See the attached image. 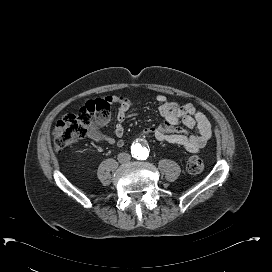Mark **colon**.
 <instances>
[{"label":"colon","instance_id":"1","mask_svg":"<svg viewBox=\"0 0 272 272\" xmlns=\"http://www.w3.org/2000/svg\"><path fill=\"white\" fill-rule=\"evenodd\" d=\"M110 105L106 98H98L86 102L73 113L63 116L53 131V143L56 151H62L80 139L86 137L94 124H106L110 117ZM204 169L199 156H191L187 160L188 173L197 175Z\"/></svg>","mask_w":272,"mask_h":272}]
</instances>
